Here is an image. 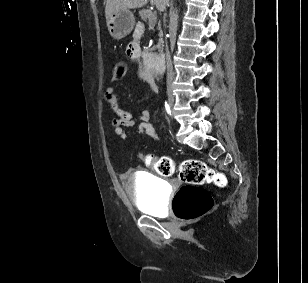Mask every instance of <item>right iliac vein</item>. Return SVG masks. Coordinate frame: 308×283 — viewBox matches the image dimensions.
Wrapping results in <instances>:
<instances>
[{"label": "right iliac vein", "mask_w": 308, "mask_h": 283, "mask_svg": "<svg viewBox=\"0 0 308 283\" xmlns=\"http://www.w3.org/2000/svg\"><path fill=\"white\" fill-rule=\"evenodd\" d=\"M173 103H174V99L173 98H169V105L172 107L173 106Z\"/></svg>", "instance_id": "1"}]
</instances>
